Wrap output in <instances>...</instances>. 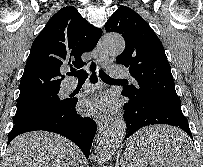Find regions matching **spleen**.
<instances>
[{
	"label": "spleen",
	"mask_w": 203,
	"mask_h": 167,
	"mask_svg": "<svg viewBox=\"0 0 203 167\" xmlns=\"http://www.w3.org/2000/svg\"><path fill=\"white\" fill-rule=\"evenodd\" d=\"M137 145V146H136ZM134 145L130 154V167H197V160L192 150H184L178 153L175 160H164L158 145L150 148H138L139 143ZM158 149V154L154 155L150 151Z\"/></svg>",
	"instance_id": "1"
}]
</instances>
